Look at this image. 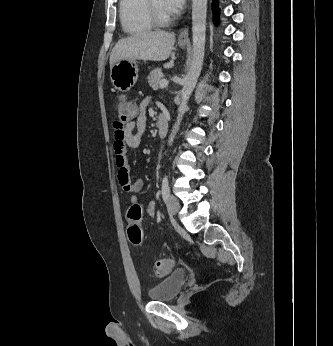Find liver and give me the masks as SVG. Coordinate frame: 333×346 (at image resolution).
Segmentation results:
<instances>
[{
  "instance_id": "6515ba94",
  "label": "liver",
  "mask_w": 333,
  "mask_h": 346,
  "mask_svg": "<svg viewBox=\"0 0 333 346\" xmlns=\"http://www.w3.org/2000/svg\"><path fill=\"white\" fill-rule=\"evenodd\" d=\"M175 43V35L164 31L143 32L119 40L110 55V67L120 60L164 61Z\"/></svg>"
}]
</instances>
